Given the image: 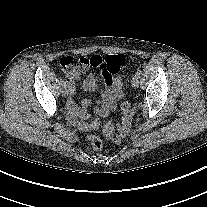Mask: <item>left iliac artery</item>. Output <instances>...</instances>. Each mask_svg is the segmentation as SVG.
<instances>
[{"label": "left iliac artery", "mask_w": 207, "mask_h": 207, "mask_svg": "<svg viewBox=\"0 0 207 207\" xmlns=\"http://www.w3.org/2000/svg\"><path fill=\"white\" fill-rule=\"evenodd\" d=\"M142 75V71L141 70H137L135 76H138L139 78L141 77Z\"/></svg>", "instance_id": "44dca946"}]
</instances>
